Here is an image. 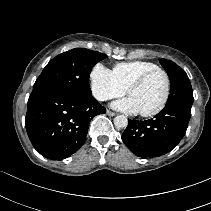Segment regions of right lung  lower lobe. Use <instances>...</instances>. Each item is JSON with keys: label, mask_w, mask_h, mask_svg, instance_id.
<instances>
[{"label": "right lung lower lobe", "mask_w": 211, "mask_h": 211, "mask_svg": "<svg viewBox=\"0 0 211 211\" xmlns=\"http://www.w3.org/2000/svg\"><path fill=\"white\" fill-rule=\"evenodd\" d=\"M105 112L92 95L80 98L58 91L32 92L25 126L42 156L62 160L83 145L91 119Z\"/></svg>", "instance_id": "obj_1"}]
</instances>
